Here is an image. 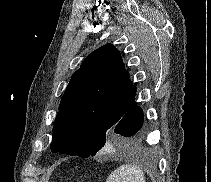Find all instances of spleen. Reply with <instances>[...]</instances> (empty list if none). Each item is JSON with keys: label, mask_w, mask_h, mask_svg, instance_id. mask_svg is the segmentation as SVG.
<instances>
[{"label": "spleen", "mask_w": 211, "mask_h": 182, "mask_svg": "<svg viewBox=\"0 0 211 182\" xmlns=\"http://www.w3.org/2000/svg\"><path fill=\"white\" fill-rule=\"evenodd\" d=\"M106 182H145V178L138 166L125 164L114 170Z\"/></svg>", "instance_id": "1"}]
</instances>
